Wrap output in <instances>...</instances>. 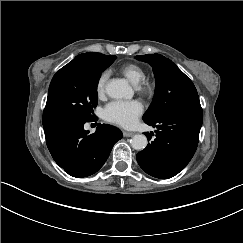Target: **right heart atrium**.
I'll return each mask as SVG.
<instances>
[{
  "label": "right heart atrium",
  "mask_w": 243,
  "mask_h": 243,
  "mask_svg": "<svg viewBox=\"0 0 243 243\" xmlns=\"http://www.w3.org/2000/svg\"><path fill=\"white\" fill-rule=\"evenodd\" d=\"M110 78V71L108 69L103 70L96 79L95 92L96 96L100 99L106 94V85Z\"/></svg>",
  "instance_id": "d8ad5b80"
}]
</instances>
